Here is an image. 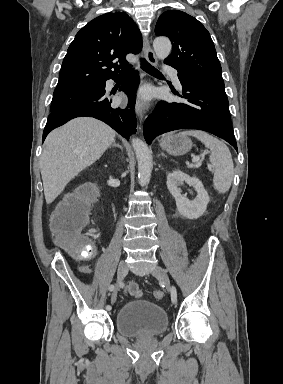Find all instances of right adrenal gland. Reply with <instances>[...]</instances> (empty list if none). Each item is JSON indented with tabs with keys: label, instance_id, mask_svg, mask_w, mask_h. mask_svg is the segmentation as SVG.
<instances>
[{
	"label": "right adrenal gland",
	"instance_id": "1",
	"mask_svg": "<svg viewBox=\"0 0 283 384\" xmlns=\"http://www.w3.org/2000/svg\"><path fill=\"white\" fill-rule=\"evenodd\" d=\"M112 146H115V148H120V150H122V146H120V144H116L115 140H114Z\"/></svg>",
	"mask_w": 283,
	"mask_h": 384
}]
</instances>
